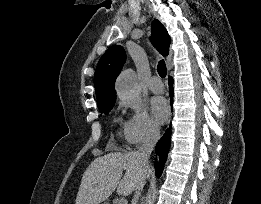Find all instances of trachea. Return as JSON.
I'll return each instance as SVG.
<instances>
[{"instance_id":"3493384b","label":"trachea","mask_w":261,"mask_h":204,"mask_svg":"<svg viewBox=\"0 0 261 204\" xmlns=\"http://www.w3.org/2000/svg\"><path fill=\"white\" fill-rule=\"evenodd\" d=\"M157 71L160 77L164 78L167 74V69L164 60H161L157 66Z\"/></svg>"}]
</instances>
